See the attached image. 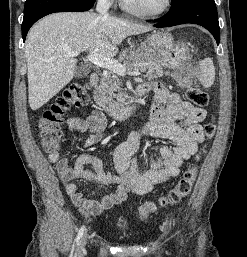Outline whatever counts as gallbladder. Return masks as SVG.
<instances>
[{
    "label": "gallbladder",
    "instance_id": "bac80fb5",
    "mask_svg": "<svg viewBox=\"0 0 247 257\" xmlns=\"http://www.w3.org/2000/svg\"><path fill=\"white\" fill-rule=\"evenodd\" d=\"M89 73H90V68L85 65H81L75 69L74 76L78 79H81V78L87 77Z\"/></svg>",
    "mask_w": 247,
    "mask_h": 257
}]
</instances>
